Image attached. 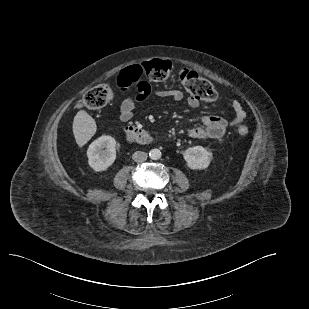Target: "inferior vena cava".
Masks as SVG:
<instances>
[{"instance_id": "1", "label": "inferior vena cava", "mask_w": 309, "mask_h": 309, "mask_svg": "<svg viewBox=\"0 0 309 309\" xmlns=\"http://www.w3.org/2000/svg\"><path fill=\"white\" fill-rule=\"evenodd\" d=\"M147 153L142 152V151H136L134 152V154L132 155V158L135 162H144L147 160Z\"/></svg>"}]
</instances>
